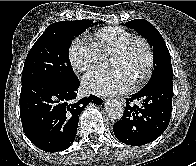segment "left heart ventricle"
<instances>
[{"label": "left heart ventricle", "mask_w": 196, "mask_h": 166, "mask_svg": "<svg viewBox=\"0 0 196 166\" xmlns=\"http://www.w3.org/2000/svg\"><path fill=\"white\" fill-rule=\"evenodd\" d=\"M147 64V52L141 44L134 46L127 57L113 55L111 59L112 68L125 70L135 80L145 69Z\"/></svg>", "instance_id": "left-heart-ventricle-1"}]
</instances>
